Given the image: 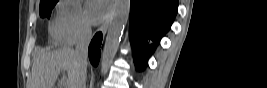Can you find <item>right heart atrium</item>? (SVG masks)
<instances>
[{
  "label": "right heart atrium",
  "instance_id": "d8ad5b80",
  "mask_svg": "<svg viewBox=\"0 0 267 88\" xmlns=\"http://www.w3.org/2000/svg\"><path fill=\"white\" fill-rule=\"evenodd\" d=\"M90 25L76 1L60 2L51 25L52 38L63 45H72L85 39Z\"/></svg>",
  "mask_w": 267,
  "mask_h": 88
}]
</instances>
